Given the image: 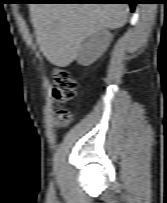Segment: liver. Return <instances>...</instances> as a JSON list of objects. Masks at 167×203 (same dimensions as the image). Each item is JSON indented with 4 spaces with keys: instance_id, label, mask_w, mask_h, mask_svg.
I'll list each match as a JSON object with an SVG mask.
<instances>
[{
    "instance_id": "1",
    "label": "liver",
    "mask_w": 167,
    "mask_h": 203,
    "mask_svg": "<svg viewBox=\"0 0 167 203\" xmlns=\"http://www.w3.org/2000/svg\"><path fill=\"white\" fill-rule=\"evenodd\" d=\"M30 13L43 55L50 63L66 67L77 58L86 38L124 26L129 8L125 4L35 3Z\"/></svg>"
}]
</instances>
